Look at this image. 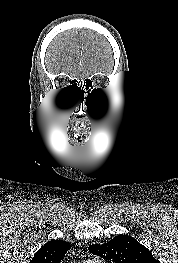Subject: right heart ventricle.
<instances>
[{"instance_id":"e07e8e85","label":"right heart ventricle","mask_w":178,"mask_h":263,"mask_svg":"<svg viewBox=\"0 0 178 263\" xmlns=\"http://www.w3.org/2000/svg\"><path fill=\"white\" fill-rule=\"evenodd\" d=\"M86 263H101V262L98 260H90V261H87Z\"/></svg>"}]
</instances>
